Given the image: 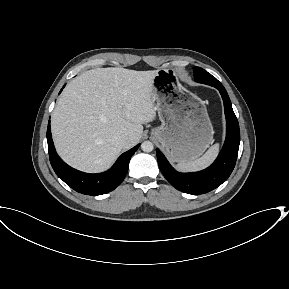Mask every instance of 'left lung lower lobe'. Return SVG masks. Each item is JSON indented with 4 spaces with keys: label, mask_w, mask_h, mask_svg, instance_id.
Returning <instances> with one entry per match:
<instances>
[{
    "label": "left lung lower lobe",
    "mask_w": 289,
    "mask_h": 289,
    "mask_svg": "<svg viewBox=\"0 0 289 289\" xmlns=\"http://www.w3.org/2000/svg\"><path fill=\"white\" fill-rule=\"evenodd\" d=\"M225 108L227 123L226 140L215 160L207 169L195 173H179L165 156L156 149L158 164L165 178L176 189L189 194H204L220 186L234 169L240 143V130L229 96L223 86L217 87Z\"/></svg>",
    "instance_id": "obj_1"
}]
</instances>
